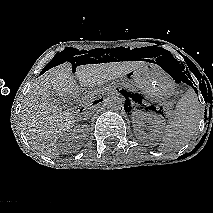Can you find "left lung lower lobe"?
I'll return each mask as SVG.
<instances>
[{"instance_id":"1","label":"left lung lower lobe","mask_w":213,"mask_h":213,"mask_svg":"<svg viewBox=\"0 0 213 213\" xmlns=\"http://www.w3.org/2000/svg\"><path fill=\"white\" fill-rule=\"evenodd\" d=\"M120 93L123 94V95L125 96L126 100L128 99V96L125 95L126 92H125L124 90H121ZM121 109H122V108H121Z\"/></svg>"}]
</instances>
